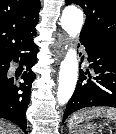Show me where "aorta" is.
I'll list each match as a JSON object with an SVG mask.
<instances>
[{"mask_svg":"<svg viewBox=\"0 0 116 134\" xmlns=\"http://www.w3.org/2000/svg\"><path fill=\"white\" fill-rule=\"evenodd\" d=\"M83 25V12L75 6L64 9L61 26L71 38H76ZM78 78L77 52L70 48L60 65L57 100L60 105L66 104L71 98Z\"/></svg>","mask_w":116,"mask_h":134,"instance_id":"aorta-1","label":"aorta"}]
</instances>
